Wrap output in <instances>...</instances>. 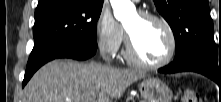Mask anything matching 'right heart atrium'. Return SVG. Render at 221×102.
Here are the masks:
<instances>
[{"instance_id":"right-heart-atrium-1","label":"right heart atrium","mask_w":221,"mask_h":102,"mask_svg":"<svg viewBox=\"0 0 221 102\" xmlns=\"http://www.w3.org/2000/svg\"><path fill=\"white\" fill-rule=\"evenodd\" d=\"M95 32L98 47L102 52L114 55L119 51L124 41V31L109 11H101Z\"/></svg>"}]
</instances>
